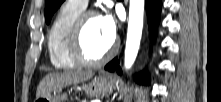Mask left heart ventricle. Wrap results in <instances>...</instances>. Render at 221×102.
Wrapping results in <instances>:
<instances>
[{
    "label": "left heart ventricle",
    "mask_w": 221,
    "mask_h": 102,
    "mask_svg": "<svg viewBox=\"0 0 221 102\" xmlns=\"http://www.w3.org/2000/svg\"><path fill=\"white\" fill-rule=\"evenodd\" d=\"M85 54L92 59L101 57L111 46L102 30L99 17L90 18L84 28L82 37Z\"/></svg>",
    "instance_id": "1"
}]
</instances>
